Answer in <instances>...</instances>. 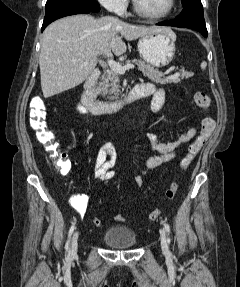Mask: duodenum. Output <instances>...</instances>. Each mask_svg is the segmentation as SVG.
<instances>
[{"label": "duodenum", "instance_id": "obj_1", "mask_svg": "<svg viewBox=\"0 0 240 287\" xmlns=\"http://www.w3.org/2000/svg\"><path fill=\"white\" fill-rule=\"evenodd\" d=\"M100 75L99 70H94L82 85L81 102L93 114L113 113L122 109L126 104L146 97L140 89V84L133 87L125 96L113 101L99 100L93 91V85Z\"/></svg>", "mask_w": 240, "mask_h": 287}]
</instances>
